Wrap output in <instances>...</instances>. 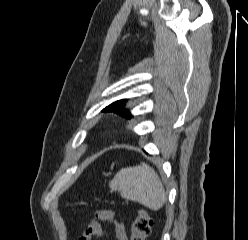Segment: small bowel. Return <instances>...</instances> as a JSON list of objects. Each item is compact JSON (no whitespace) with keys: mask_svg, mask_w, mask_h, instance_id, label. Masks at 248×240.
Instances as JSON below:
<instances>
[{"mask_svg":"<svg viewBox=\"0 0 248 240\" xmlns=\"http://www.w3.org/2000/svg\"><path fill=\"white\" fill-rule=\"evenodd\" d=\"M109 222L113 229L117 240H128L126 226L122 217L112 209H103L97 211L95 219L84 229L78 237V240H92L103 236V227L99 221Z\"/></svg>","mask_w":248,"mask_h":240,"instance_id":"small-bowel-1","label":"small bowel"}]
</instances>
